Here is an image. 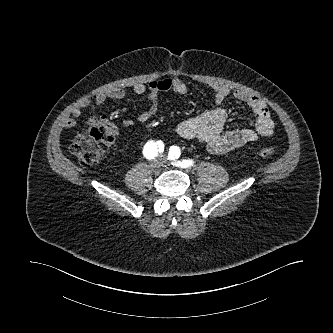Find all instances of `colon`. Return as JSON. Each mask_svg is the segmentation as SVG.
<instances>
[{"label":"colon","instance_id":"5ec220e1","mask_svg":"<svg viewBox=\"0 0 333 333\" xmlns=\"http://www.w3.org/2000/svg\"><path fill=\"white\" fill-rule=\"evenodd\" d=\"M114 139L115 134L111 130L102 125H92L73 139L70 149L82 164L92 165L104 157ZM273 154L271 147H262L253 152V156L260 158H270Z\"/></svg>","mask_w":333,"mask_h":333}]
</instances>
